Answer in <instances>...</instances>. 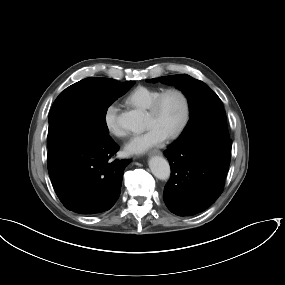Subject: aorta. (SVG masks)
<instances>
[{"label": "aorta", "instance_id": "obj_1", "mask_svg": "<svg viewBox=\"0 0 285 285\" xmlns=\"http://www.w3.org/2000/svg\"><path fill=\"white\" fill-rule=\"evenodd\" d=\"M143 120L144 115L142 112L131 110L120 114L117 121L121 128L135 132L143 128ZM149 168L152 174L160 180H167L170 177V165L163 157H152L149 160Z\"/></svg>", "mask_w": 285, "mask_h": 285}]
</instances>
